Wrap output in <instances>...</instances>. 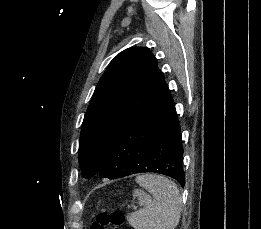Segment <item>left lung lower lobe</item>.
<instances>
[{
	"mask_svg": "<svg viewBox=\"0 0 261 229\" xmlns=\"http://www.w3.org/2000/svg\"><path fill=\"white\" fill-rule=\"evenodd\" d=\"M181 129L164 84L125 127L106 153L97 174L116 179L155 172L185 184Z\"/></svg>",
	"mask_w": 261,
	"mask_h": 229,
	"instance_id": "obj_1",
	"label": "left lung lower lobe"
}]
</instances>
